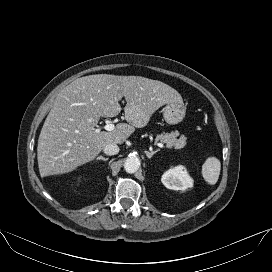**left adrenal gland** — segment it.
Instances as JSON below:
<instances>
[{"label": "left adrenal gland", "mask_w": 272, "mask_h": 272, "mask_svg": "<svg viewBox=\"0 0 272 272\" xmlns=\"http://www.w3.org/2000/svg\"><path fill=\"white\" fill-rule=\"evenodd\" d=\"M158 151H159V149H157V150H155V151H151V152L146 151L145 154H146V156L150 159V158H152V156H153L155 153H157Z\"/></svg>", "instance_id": "a2214340"}]
</instances>
